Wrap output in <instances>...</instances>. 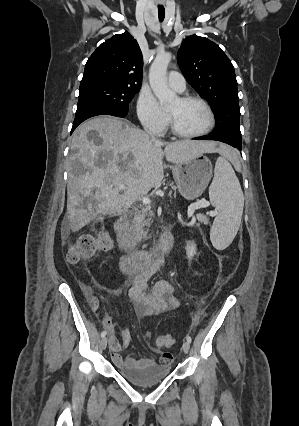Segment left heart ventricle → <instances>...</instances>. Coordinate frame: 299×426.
I'll return each instance as SVG.
<instances>
[{"label": "left heart ventricle", "mask_w": 299, "mask_h": 426, "mask_svg": "<svg viewBox=\"0 0 299 426\" xmlns=\"http://www.w3.org/2000/svg\"><path fill=\"white\" fill-rule=\"evenodd\" d=\"M174 116L178 128L184 132L196 133L208 125V114L204 107L197 102H181L175 99L168 107Z\"/></svg>", "instance_id": "b2bd125f"}]
</instances>
